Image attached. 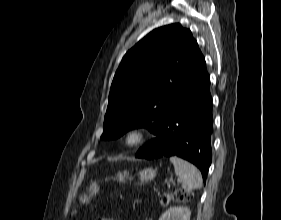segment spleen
<instances>
[{
    "instance_id": "obj_1",
    "label": "spleen",
    "mask_w": 281,
    "mask_h": 220,
    "mask_svg": "<svg viewBox=\"0 0 281 220\" xmlns=\"http://www.w3.org/2000/svg\"><path fill=\"white\" fill-rule=\"evenodd\" d=\"M170 161L174 165L176 175L182 180L183 189L190 191L202 187V175L197 167L175 156L170 157Z\"/></svg>"
}]
</instances>
